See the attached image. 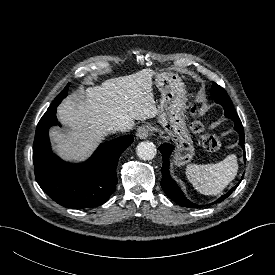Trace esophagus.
Here are the masks:
<instances>
[{
	"label": "esophagus",
	"mask_w": 275,
	"mask_h": 275,
	"mask_svg": "<svg viewBox=\"0 0 275 275\" xmlns=\"http://www.w3.org/2000/svg\"><path fill=\"white\" fill-rule=\"evenodd\" d=\"M150 133V126L149 125H142L137 129V137L140 139H146Z\"/></svg>",
	"instance_id": "34e87169"
}]
</instances>
